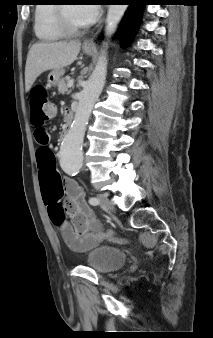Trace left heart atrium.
<instances>
[{
    "mask_svg": "<svg viewBox=\"0 0 213 338\" xmlns=\"http://www.w3.org/2000/svg\"><path fill=\"white\" fill-rule=\"evenodd\" d=\"M89 2V1H88ZM87 3V1L85 2ZM79 18L87 25L94 23L100 15L99 5H79L77 8Z\"/></svg>",
    "mask_w": 213,
    "mask_h": 338,
    "instance_id": "1",
    "label": "left heart atrium"
}]
</instances>
